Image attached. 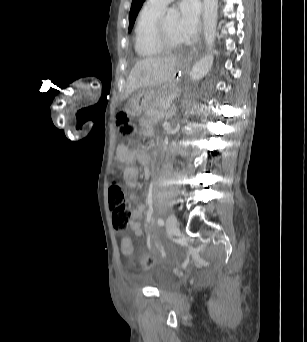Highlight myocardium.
Wrapping results in <instances>:
<instances>
[{
  "label": "myocardium",
  "instance_id": "myocardium-1",
  "mask_svg": "<svg viewBox=\"0 0 307 342\" xmlns=\"http://www.w3.org/2000/svg\"><path fill=\"white\" fill-rule=\"evenodd\" d=\"M163 20L158 18L153 26V43L156 46V48L160 51V53L165 55H177L179 54L181 49L175 50L169 48L163 39Z\"/></svg>",
  "mask_w": 307,
  "mask_h": 342
}]
</instances>
